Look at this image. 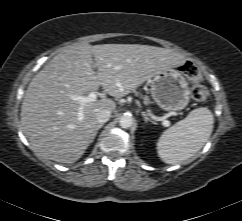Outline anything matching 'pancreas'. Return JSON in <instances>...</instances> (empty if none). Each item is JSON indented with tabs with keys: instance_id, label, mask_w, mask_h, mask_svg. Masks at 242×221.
I'll return each mask as SVG.
<instances>
[{
	"instance_id": "obj_1",
	"label": "pancreas",
	"mask_w": 242,
	"mask_h": 221,
	"mask_svg": "<svg viewBox=\"0 0 242 221\" xmlns=\"http://www.w3.org/2000/svg\"><path fill=\"white\" fill-rule=\"evenodd\" d=\"M144 102H145V104H149L150 103V100H149V98L147 96L144 97Z\"/></svg>"
}]
</instances>
